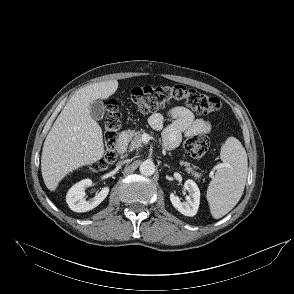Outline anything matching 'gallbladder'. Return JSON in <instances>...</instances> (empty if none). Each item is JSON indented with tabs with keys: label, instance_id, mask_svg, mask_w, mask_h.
<instances>
[{
	"label": "gallbladder",
	"instance_id": "gallbladder-1",
	"mask_svg": "<svg viewBox=\"0 0 294 294\" xmlns=\"http://www.w3.org/2000/svg\"><path fill=\"white\" fill-rule=\"evenodd\" d=\"M89 110L91 117L96 121L101 120L104 116L105 108L101 100L93 101L89 106Z\"/></svg>",
	"mask_w": 294,
	"mask_h": 294
}]
</instances>
